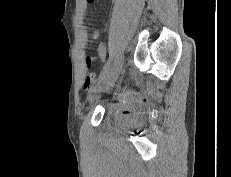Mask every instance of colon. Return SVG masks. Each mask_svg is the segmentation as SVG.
I'll use <instances>...</instances> for the list:
<instances>
[{
  "instance_id": "obj_1",
  "label": "colon",
  "mask_w": 231,
  "mask_h": 177,
  "mask_svg": "<svg viewBox=\"0 0 231 177\" xmlns=\"http://www.w3.org/2000/svg\"><path fill=\"white\" fill-rule=\"evenodd\" d=\"M87 2H88V3H92V2H94V0H87Z\"/></svg>"
}]
</instances>
